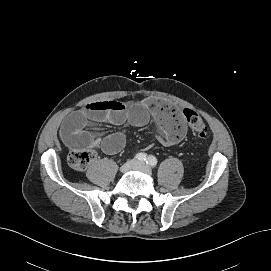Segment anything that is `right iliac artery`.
<instances>
[{"label": "right iliac artery", "instance_id": "right-iliac-artery-1", "mask_svg": "<svg viewBox=\"0 0 271 271\" xmlns=\"http://www.w3.org/2000/svg\"><path fill=\"white\" fill-rule=\"evenodd\" d=\"M135 158L141 162H146L148 157L145 153H138L136 154Z\"/></svg>", "mask_w": 271, "mask_h": 271}]
</instances>
